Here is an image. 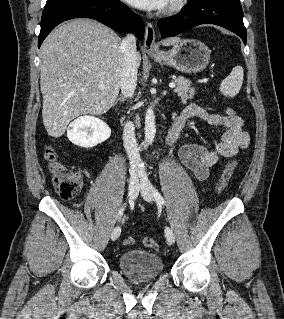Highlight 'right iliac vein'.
Listing matches in <instances>:
<instances>
[{"mask_svg":"<svg viewBox=\"0 0 284 319\" xmlns=\"http://www.w3.org/2000/svg\"><path fill=\"white\" fill-rule=\"evenodd\" d=\"M139 191V181L138 176L136 174H133L130 178L129 188H128V196L130 200H134L137 197ZM121 228L120 226H116L112 233H111V239L113 241L117 240L120 236Z\"/></svg>","mask_w":284,"mask_h":319,"instance_id":"right-iliac-vein-1","label":"right iliac vein"}]
</instances>
